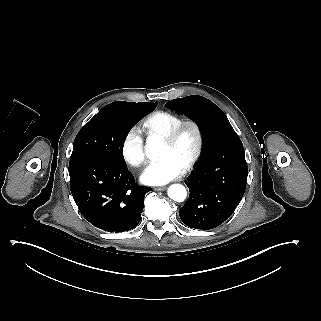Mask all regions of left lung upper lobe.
Here are the masks:
<instances>
[{
	"label": "left lung upper lobe",
	"mask_w": 321,
	"mask_h": 321,
	"mask_svg": "<svg viewBox=\"0 0 321 321\" xmlns=\"http://www.w3.org/2000/svg\"><path fill=\"white\" fill-rule=\"evenodd\" d=\"M166 107L187 115L198 125L202 133L201 159L221 145L241 141L224 112L202 96L174 99Z\"/></svg>",
	"instance_id": "left-lung-upper-lobe-1"
}]
</instances>
